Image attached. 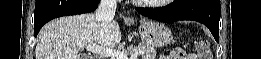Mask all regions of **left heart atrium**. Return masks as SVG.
<instances>
[{
	"label": "left heart atrium",
	"instance_id": "obj_1",
	"mask_svg": "<svg viewBox=\"0 0 261 59\" xmlns=\"http://www.w3.org/2000/svg\"><path fill=\"white\" fill-rule=\"evenodd\" d=\"M139 3H151V2H161V1H148V0H137Z\"/></svg>",
	"mask_w": 261,
	"mask_h": 59
}]
</instances>
